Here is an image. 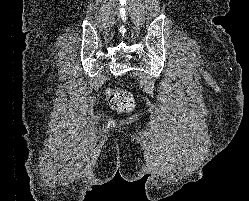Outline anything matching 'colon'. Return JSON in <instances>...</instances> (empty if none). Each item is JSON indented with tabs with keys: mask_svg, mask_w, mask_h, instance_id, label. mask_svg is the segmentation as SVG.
Listing matches in <instances>:
<instances>
[{
	"mask_svg": "<svg viewBox=\"0 0 249 201\" xmlns=\"http://www.w3.org/2000/svg\"><path fill=\"white\" fill-rule=\"evenodd\" d=\"M106 101L116 111L128 112L133 108L134 100L129 92L110 89L106 93Z\"/></svg>",
	"mask_w": 249,
	"mask_h": 201,
	"instance_id": "obj_1",
	"label": "colon"
}]
</instances>
